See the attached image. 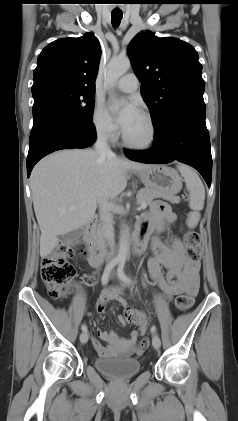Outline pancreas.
Returning a JSON list of instances; mask_svg holds the SVG:
<instances>
[{
    "mask_svg": "<svg viewBox=\"0 0 238 421\" xmlns=\"http://www.w3.org/2000/svg\"><path fill=\"white\" fill-rule=\"evenodd\" d=\"M156 198H164L173 203H175V201L177 200V198L175 197L168 196L156 189H150V188L141 189L136 196L138 204H146V205L151 204V202ZM98 235L101 236L102 233L99 231Z\"/></svg>",
    "mask_w": 238,
    "mask_h": 421,
    "instance_id": "pancreas-1",
    "label": "pancreas"
}]
</instances>
